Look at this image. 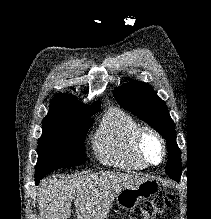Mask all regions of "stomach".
<instances>
[{"label": "stomach", "mask_w": 211, "mask_h": 219, "mask_svg": "<svg viewBox=\"0 0 211 219\" xmlns=\"http://www.w3.org/2000/svg\"><path fill=\"white\" fill-rule=\"evenodd\" d=\"M159 191V184L153 180H145L139 185L125 188L116 196V204L122 209L136 207L140 200L151 197Z\"/></svg>", "instance_id": "obj_1"}]
</instances>
